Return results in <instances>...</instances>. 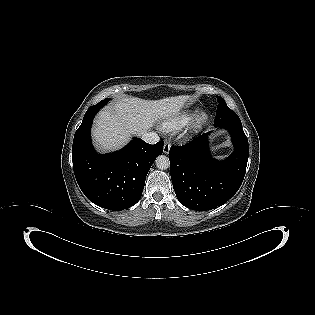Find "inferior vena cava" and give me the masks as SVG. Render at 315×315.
<instances>
[{
	"instance_id": "602c4592",
	"label": "inferior vena cava",
	"mask_w": 315,
	"mask_h": 315,
	"mask_svg": "<svg viewBox=\"0 0 315 315\" xmlns=\"http://www.w3.org/2000/svg\"><path fill=\"white\" fill-rule=\"evenodd\" d=\"M142 139L149 144H156L160 140L156 132H145L142 134Z\"/></svg>"
}]
</instances>
